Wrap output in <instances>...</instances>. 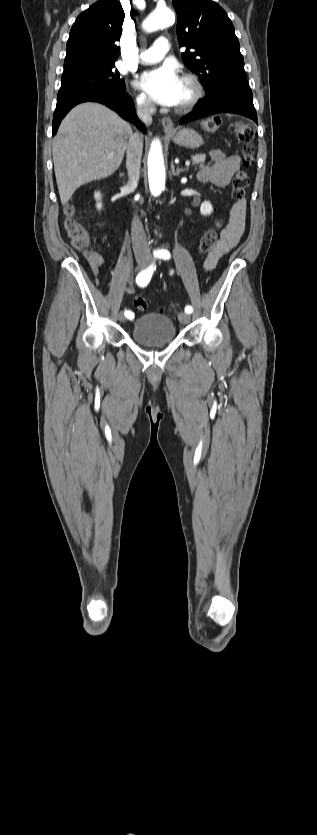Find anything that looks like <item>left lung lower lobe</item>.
<instances>
[{"mask_svg": "<svg viewBox=\"0 0 317 835\" xmlns=\"http://www.w3.org/2000/svg\"><path fill=\"white\" fill-rule=\"evenodd\" d=\"M216 113H235L258 122L253 95L247 81H234L216 98L199 100L196 108L180 120V124Z\"/></svg>", "mask_w": 317, "mask_h": 835, "instance_id": "0a47b994", "label": "left lung lower lobe"}]
</instances>
